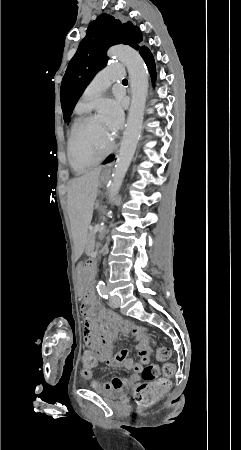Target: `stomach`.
Masks as SVG:
<instances>
[{
    "mask_svg": "<svg viewBox=\"0 0 241 450\" xmlns=\"http://www.w3.org/2000/svg\"><path fill=\"white\" fill-rule=\"evenodd\" d=\"M106 175L101 176V182L105 181ZM76 282L79 290L81 292H84V273H83V265L80 263L77 266V276H76Z\"/></svg>",
    "mask_w": 241,
    "mask_h": 450,
    "instance_id": "obj_1",
    "label": "stomach"
}]
</instances>
